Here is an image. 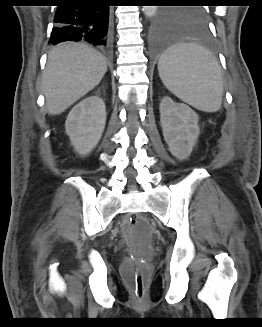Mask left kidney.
<instances>
[{"label": "left kidney", "mask_w": 262, "mask_h": 327, "mask_svg": "<svg viewBox=\"0 0 262 327\" xmlns=\"http://www.w3.org/2000/svg\"><path fill=\"white\" fill-rule=\"evenodd\" d=\"M159 109L169 151L179 160L187 159L200 134L198 115L188 105L176 103L167 96L161 100Z\"/></svg>", "instance_id": "obj_1"}]
</instances>
